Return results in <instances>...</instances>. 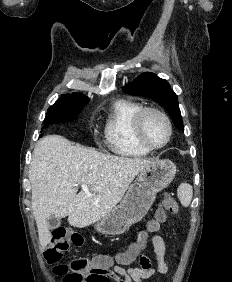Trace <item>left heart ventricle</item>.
Here are the masks:
<instances>
[{
	"mask_svg": "<svg viewBox=\"0 0 232 282\" xmlns=\"http://www.w3.org/2000/svg\"><path fill=\"white\" fill-rule=\"evenodd\" d=\"M143 133L145 138L151 144L160 145L166 140L168 129L164 120L160 116L149 114L144 121Z\"/></svg>",
	"mask_w": 232,
	"mask_h": 282,
	"instance_id": "b2bd125f",
	"label": "left heart ventricle"
}]
</instances>
